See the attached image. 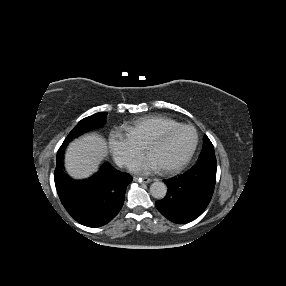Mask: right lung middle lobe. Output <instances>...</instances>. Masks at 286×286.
I'll list each match as a JSON object with an SVG mask.
<instances>
[{"label":"right lung middle lobe","instance_id":"dd1d6c3e","mask_svg":"<svg viewBox=\"0 0 286 286\" xmlns=\"http://www.w3.org/2000/svg\"><path fill=\"white\" fill-rule=\"evenodd\" d=\"M107 112H100L93 114L89 117L82 119L77 126L69 133L67 138L64 140L62 146L66 145L75 137L81 135L84 132L92 129L101 127L106 121Z\"/></svg>","mask_w":286,"mask_h":286}]
</instances>
